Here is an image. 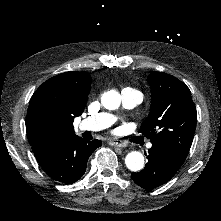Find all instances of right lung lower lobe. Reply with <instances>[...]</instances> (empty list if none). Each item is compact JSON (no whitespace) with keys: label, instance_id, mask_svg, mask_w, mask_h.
Instances as JSON below:
<instances>
[{"label":"right lung lower lobe","instance_id":"1","mask_svg":"<svg viewBox=\"0 0 221 221\" xmlns=\"http://www.w3.org/2000/svg\"><path fill=\"white\" fill-rule=\"evenodd\" d=\"M100 146L99 140L87 141L76 135L36 159L52 179L72 184L83 176L89 156Z\"/></svg>","mask_w":221,"mask_h":221}]
</instances>
